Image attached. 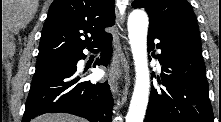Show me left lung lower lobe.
<instances>
[{"label": "left lung lower lobe", "instance_id": "obj_1", "mask_svg": "<svg viewBox=\"0 0 221 122\" xmlns=\"http://www.w3.org/2000/svg\"><path fill=\"white\" fill-rule=\"evenodd\" d=\"M155 39L162 87H152L144 122H214L201 43L149 25L148 52Z\"/></svg>", "mask_w": 221, "mask_h": 122}]
</instances>
